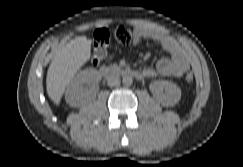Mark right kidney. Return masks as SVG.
<instances>
[{
  "label": "right kidney",
  "mask_w": 243,
  "mask_h": 167,
  "mask_svg": "<svg viewBox=\"0 0 243 167\" xmlns=\"http://www.w3.org/2000/svg\"><path fill=\"white\" fill-rule=\"evenodd\" d=\"M101 75L94 69H86L79 72L69 83L65 100L72 107H79L84 105L95 93L93 89ZM89 85V88L86 87Z\"/></svg>",
  "instance_id": "1"
}]
</instances>
